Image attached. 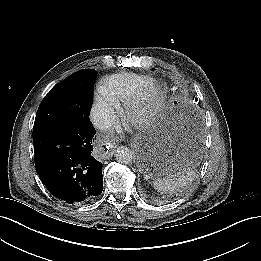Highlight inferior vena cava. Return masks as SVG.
Segmentation results:
<instances>
[{"label": "inferior vena cava", "instance_id": "602c4592", "mask_svg": "<svg viewBox=\"0 0 261 261\" xmlns=\"http://www.w3.org/2000/svg\"><path fill=\"white\" fill-rule=\"evenodd\" d=\"M92 120L94 124L100 129H107L112 125L110 114L103 109H96L93 112Z\"/></svg>", "mask_w": 261, "mask_h": 261}]
</instances>
